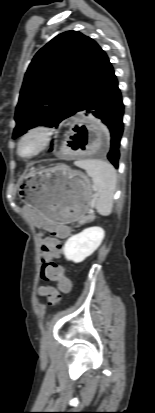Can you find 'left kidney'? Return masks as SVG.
Instances as JSON below:
<instances>
[{
    "mask_svg": "<svg viewBox=\"0 0 155 413\" xmlns=\"http://www.w3.org/2000/svg\"><path fill=\"white\" fill-rule=\"evenodd\" d=\"M104 235L101 227H89L71 236L64 245L65 258L75 263L84 261L101 245Z\"/></svg>",
    "mask_w": 155,
    "mask_h": 413,
    "instance_id": "1",
    "label": "left kidney"
}]
</instances>
